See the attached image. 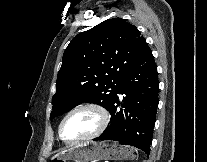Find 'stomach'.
<instances>
[{"instance_id": "obj_1", "label": "stomach", "mask_w": 207, "mask_h": 162, "mask_svg": "<svg viewBox=\"0 0 207 162\" xmlns=\"http://www.w3.org/2000/svg\"><path fill=\"white\" fill-rule=\"evenodd\" d=\"M134 149L115 142H88L58 153L52 157V162L74 160V162H99L102 160L134 159Z\"/></svg>"}]
</instances>
